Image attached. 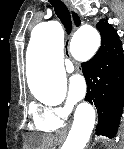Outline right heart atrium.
Masks as SVG:
<instances>
[{
	"label": "right heart atrium",
	"instance_id": "1",
	"mask_svg": "<svg viewBox=\"0 0 124 149\" xmlns=\"http://www.w3.org/2000/svg\"><path fill=\"white\" fill-rule=\"evenodd\" d=\"M34 124L54 130L59 128L70 113L69 106H34L32 109Z\"/></svg>",
	"mask_w": 124,
	"mask_h": 149
}]
</instances>
